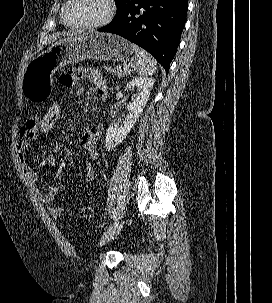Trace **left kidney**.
I'll list each match as a JSON object with an SVG mask.
<instances>
[{
  "label": "left kidney",
  "instance_id": "obj_1",
  "mask_svg": "<svg viewBox=\"0 0 272 303\" xmlns=\"http://www.w3.org/2000/svg\"><path fill=\"white\" fill-rule=\"evenodd\" d=\"M154 83L153 78L136 77L126 84L127 90L137 88L139 93L133 102L127 105L128 114L126 117L111 124L107 129L105 147L108 151L119 145L133 128L148 101Z\"/></svg>",
  "mask_w": 272,
  "mask_h": 303
}]
</instances>
